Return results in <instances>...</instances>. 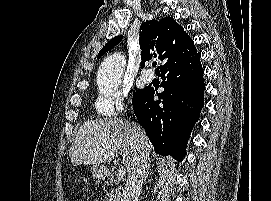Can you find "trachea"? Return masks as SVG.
Masks as SVG:
<instances>
[{
	"mask_svg": "<svg viewBox=\"0 0 271 201\" xmlns=\"http://www.w3.org/2000/svg\"><path fill=\"white\" fill-rule=\"evenodd\" d=\"M157 65V62H153L152 66L155 67Z\"/></svg>",
	"mask_w": 271,
	"mask_h": 201,
	"instance_id": "trachea-1",
	"label": "trachea"
}]
</instances>
